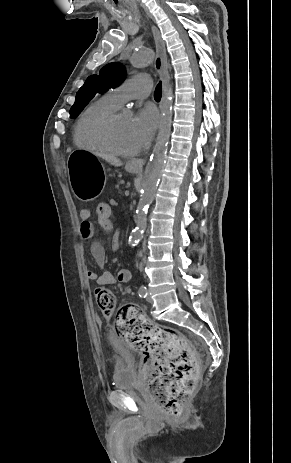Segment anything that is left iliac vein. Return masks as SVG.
Returning <instances> with one entry per match:
<instances>
[{
    "label": "left iliac vein",
    "mask_w": 291,
    "mask_h": 463,
    "mask_svg": "<svg viewBox=\"0 0 291 463\" xmlns=\"http://www.w3.org/2000/svg\"><path fill=\"white\" fill-rule=\"evenodd\" d=\"M146 300H147V302H149V303H153V299L151 298L150 295H147Z\"/></svg>",
    "instance_id": "obj_1"
}]
</instances>
